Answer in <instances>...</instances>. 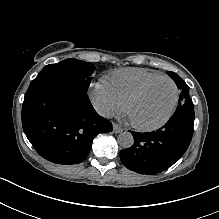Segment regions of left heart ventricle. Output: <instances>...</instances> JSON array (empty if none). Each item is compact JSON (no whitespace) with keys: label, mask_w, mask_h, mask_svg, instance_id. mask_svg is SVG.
<instances>
[{"label":"left heart ventricle","mask_w":219,"mask_h":219,"mask_svg":"<svg viewBox=\"0 0 219 219\" xmlns=\"http://www.w3.org/2000/svg\"><path fill=\"white\" fill-rule=\"evenodd\" d=\"M174 97V88L169 81H160L135 101L129 116L138 124H153L162 119Z\"/></svg>","instance_id":"left-heart-ventricle-1"}]
</instances>
